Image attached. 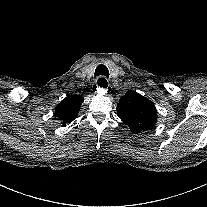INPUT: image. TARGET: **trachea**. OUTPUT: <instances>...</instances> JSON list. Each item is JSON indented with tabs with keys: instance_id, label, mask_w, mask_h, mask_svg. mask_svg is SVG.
I'll list each match as a JSON object with an SVG mask.
<instances>
[{
	"instance_id": "obj_1",
	"label": "trachea",
	"mask_w": 207,
	"mask_h": 207,
	"mask_svg": "<svg viewBox=\"0 0 207 207\" xmlns=\"http://www.w3.org/2000/svg\"><path fill=\"white\" fill-rule=\"evenodd\" d=\"M99 75L109 77L108 68L103 64L99 65L95 70V76H99ZM97 84H98V86H100L102 88H107V86H108L107 82L106 83H101L100 81H97Z\"/></svg>"
}]
</instances>
